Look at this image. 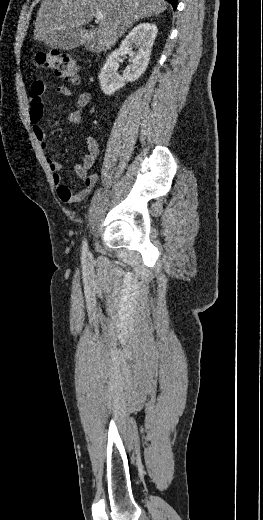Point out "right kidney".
<instances>
[{
  "instance_id": "obj_1",
  "label": "right kidney",
  "mask_w": 263,
  "mask_h": 520,
  "mask_svg": "<svg viewBox=\"0 0 263 520\" xmlns=\"http://www.w3.org/2000/svg\"><path fill=\"white\" fill-rule=\"evenodd\" d=\"M157 33L155 24L141 23L126 36L119 49L110 54L99 74V81L104 94L113 95L127 82L136 81L146 71ZM133 47L137 51L133 52ZM120 54H128L131 58L130 64L126 67L122 76L117 72L119 67L117 59Z\"/></svg>"
}]
</instances>
